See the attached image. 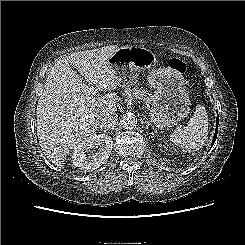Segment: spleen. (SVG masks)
I'll return each instance as SVG.
<instances>
[{
    "label": "spleen",
    "instance_id": "3e777b00",
    "mask_svg": "<svg viewBox=\"0 0 245 245\" xmlns=\"http://www.w3.org/2000/svg\"><path fill=\"white\" fill-rule=\"evenodd\" d=\"M208 116L203 105L199 104L184 129H176L171 134V141L187 151H198L206 143L208 135Z\"/></svg>",
    "mask_w": 245,
    "mask_h": 245
}]
</instances>
